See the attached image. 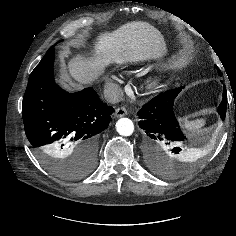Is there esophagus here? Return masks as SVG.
I'll list each match as a JSON object with an SVG mask.
<instances>
[{
	"label": "esophagus",
	"mask_w": 236,
	"mask_h": 236,
	"mask_svg": "<svg viewBox=\"0 0 236 236\" xmlns=\"http://www.w3.org/2000/svg\"><path fill=\"white\" fill-rule=\"evenodd\" d=\"M125 115H127V110L124 107H120L115 110L116 117H123Z\"/></svg>",
	"instance_id": "obj_1"
}]
</instances>
